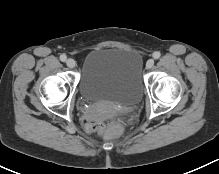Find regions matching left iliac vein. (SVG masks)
Listing matches in <instances>:
<instances>
[{"label":"left iliac vein","instance_id":"4c4485c4","mask_svg":"<svg viewBox=\"0 0 219 174\" xmlns=\"http://www.w3.org/2000/svg\"><path fill=\"white\" fill-rule=\"evenodd\" d=\"M154 65V60L153 59H149L147 62H146V67L148 69H151Z\"/></svg>","mask_w":219,"mask_h":174}]
</instances>
